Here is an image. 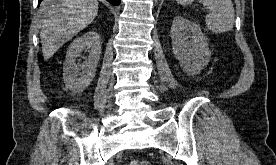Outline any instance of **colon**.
<instances>
[{
	"label": "colon",
	"mask_w": 276,
	"mask_h": 165,
	"mask_svg": "<svg viewBox=\"0 0 276 165\" xmlns=\"http://www.w3.org/2000/svg\"><path fill=\"white\" fill-rule=\"evenodd\" d=\"M132 165H152V164L147 160H134L132 162Z\"/></svg>",
	"instance_id": "obj_1"
}]
</instances>
